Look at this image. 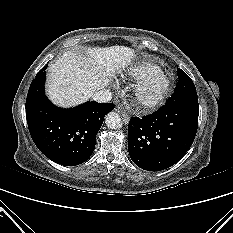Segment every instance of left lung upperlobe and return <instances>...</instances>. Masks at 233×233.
Segmentation results:
<instances>
[{
    "label": "left lung upper lobe",
    "mask_w": 233,
    "mask_h": 233,
    "mask_svg": "<svg viewBox=\"0 0 233 233\" xmlns=\"http://www.w3.org/2000/svg\"><path fill=\"white\" fill-rule=\"evenodd\" d=\"M178 83L171 96V99L178 103L197 99L195 85L191 78L180 68H177Z\"/></svg>",
    "instance_id": "1"
}]
</instances>
